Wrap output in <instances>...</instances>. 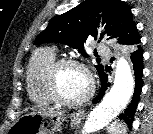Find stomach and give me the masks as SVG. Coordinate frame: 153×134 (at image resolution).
Returning <instances> with one entry per match:
<instances>
[{"label":"stomach","mask_w":153,"mask_h":134,"mask_svg":"<svg viewBox=\"0 0 153 134\" xmlns=\"http://www.w3.org/2000/svg\"><path fill=\"white\" fill-rule=\"evenodd\" d=\"M83 116L82 111L71 115V124L78 126ZM62 115H51L44 110H32L21 116L10 128L11 134H55L60 131Z\"/></svg>","instance_id":"0dacf381"}]
</instances>
